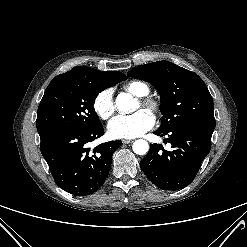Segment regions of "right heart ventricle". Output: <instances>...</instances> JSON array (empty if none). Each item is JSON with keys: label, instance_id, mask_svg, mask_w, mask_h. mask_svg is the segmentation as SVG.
I'll return each instance as SVG.
<instances>
[{"label": "right heart ventricle", "instance_id": "1", "mask_svg": "<svg viewBox=\"0 0 247 247\" xmlns=\"http://www.w3.org/2000/svg\"><path fill=\"white\" fill-rule=\"evenodd\" d=\"M124 89L137 97H145L149 94V86L142 81H130L124 85Z\"/></svg>", "mask_w": 247, "mask_h": 247}]
</instances>
